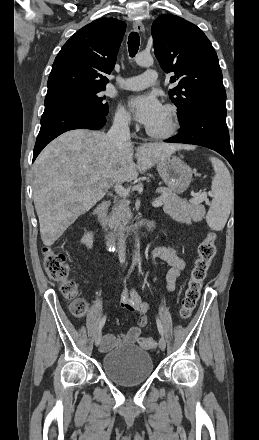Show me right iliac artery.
I'll return each mask as SVG.
<instances>
[{
	"label": "right iliac artery",
	"mask_w": 259,
	"mask_h": 440,
	"mask_svg": "<svg viewBox=\"0 0 259 440\" xmlns=\"http://www.w3.org/2000/svg\"><path fill=\"white\" fill-rule=\"evenodd\" d=\"M133 268H134V267L131 266V268L129 269V271H128V276L131 274ZM105 321H106V316H104V317L101 319V321H100V323H99V330H101V329L103 328V326H104V324H105Z\"/></svg>",
	"instance_id": "1"
}]
</instances>
